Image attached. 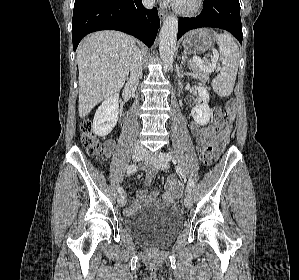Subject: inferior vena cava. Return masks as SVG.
<instances>
[{
	"instance_id": "602c4592",
	"label": "inferior vena cava",
	"mask_w": 299,
	"mask_h": 280,
	"mask_svg": "<svg viewBox=\"0 0 299 280\" xmlns=\"http://www.w3.org/2000/svg\"><path fill=\"white\" fill-rule=\"evenodd\" d=\"M143 4L145 7L151 9L154 0H143ZM142 75V57L141 53L138 49H136L133 53L131 64H130V81L137 82Z\"/></svg>"
}]
</instances>
